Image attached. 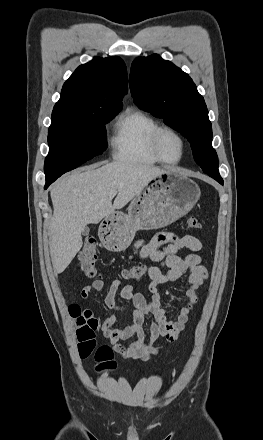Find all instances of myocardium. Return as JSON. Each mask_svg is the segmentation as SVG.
Masks as SVG:
<instances>
[{
    "label": "myocardium",
    "mask_w": 263,
    "mask_h": 440,
    "mask_svg": "<svg viewBox=\"0 0 263 440\" xmlns=\"http://www.w3.org/2000/svg\"><path fill=\"white\" fill-rule=\"evenodd\" d=\"M165 132H169L171 134H173L174 136H176L178 138V140L180 141L181 144V154L180 157L175 160V161H169L166 160L161 151H160V147H159V142H160V138L162 136L163 133ZM151 150L154 154V156L161 162L164 164H168V165H174L179 163L185 156V152H186V140L183 137V135L176 130L175 128L168 126V125H159L155 131L152 134L151 137Z\"/></svg>",
    "instance_id": "obj_1"
}]
</instances>
